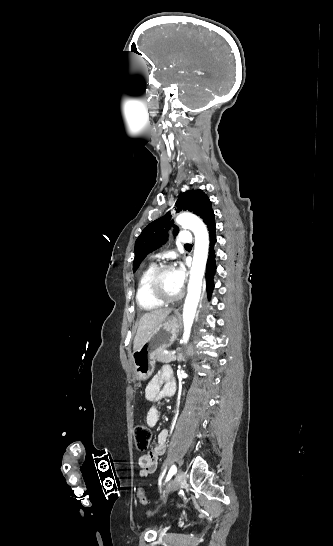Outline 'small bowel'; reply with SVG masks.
Masks as SVG:
<instances>
[{"label":"small bowel","mask_w":333,"mask_h":546,"mask_svg":"<svg viewBox=\"0 0 333 546\" xmlns=\"http://www.w3.org/2000/svg\"><path fill=\"white\" fill-rule=\"evenodd\" d=\"M174 391L175 381L172 369L167 365L162 366L150 380L144 392L145 399L152 404L146 414V423L149 427L156 426L159 421L158 402L164 397L171 396ZM168 435L166 429L159 431L154 447L148 453L139 456L138 465L142 477L155 472L158 458L165 453Z\"/></svg>","instance_id":"obj_1"}]
</instances>
